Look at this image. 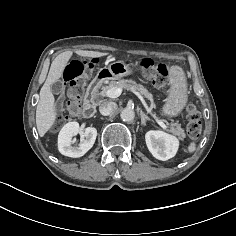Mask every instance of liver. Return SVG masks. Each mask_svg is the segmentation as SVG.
<instances>
[{
  "label": "liver",
  "mask_w": 236,
  "mask_h": 236,
  "mask_svg": "<svg viewBox=\"0 0 236 236\" xmlns=\"http://www.w3.org/2000/svg\"><path fill=\"white\" fill-rule=\"evenodd\" d=\"M75 53L82 57L98 58L108 55L106 52L76 50ZM72 51L59 54L52 62L47 79L40 90V98L36 108V126L40 137L52 127L56 120L55 99L50 89L62 75L65 66L72 57Z\"/></svg>",
  "instance_id": "6515ba94"
}]
</instances>
